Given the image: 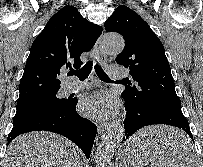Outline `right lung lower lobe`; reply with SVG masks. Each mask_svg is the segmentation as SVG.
Masks as SVG:
<instances>
[{
  "instance_id": "98d812e1",
  "label": "right lung lower lobe",
  "mask_w": 203,
  "mask_h": 167,
  "mask_svg": "<svg viewBox=\"0 0 203 167\" xmlns=\"http://www.w3.org/2000/svg\"><path fill=\"white\" fill-rule=\"evenodd\" d=\"M77 102L76 98L70 99L69 105L62 110L39 115L15 125L8 135V144L23 133L39 130L50 131L73 141L89 158L97 128L90 120L77 114Z\"/></svg>"
}]
</instances>
